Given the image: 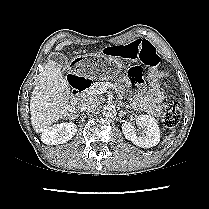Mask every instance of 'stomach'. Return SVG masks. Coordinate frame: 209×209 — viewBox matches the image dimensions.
<instances>
[{
    "label": "stomach",
    "mask_w": 209,
    "mask_h": 209,
    "mask_svg": "<svg viewBox=\"0 0 209 209\" xmlns=\"http://www.w3.org/2000/svg\"><path fill=\"white\" fill-rule=\"evenodd\" d=\"M126 60L118 55L105 56L101 53H88L72 58L66 66L74 77L82 75L91 80H118L126 75Z\"/></svg>",
    "instance_id": "1"
}]
</instances>
